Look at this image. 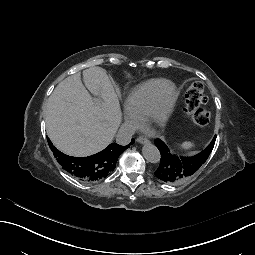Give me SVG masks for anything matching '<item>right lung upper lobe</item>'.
<instances>
[{
    "label": "right lung upper lobe",
    "instance_id": "cb5924a9",
    "mask_svg": "<svg viewBox=\"0 0 255 255\" xmlns=\"http://www.w3.org/2000/svg\"><path fill=\"white\" fill-rule=\"evenodd\" d=\"M132 142L127 146H122L116 143L110 144L103 151L94 154V158L100 161V171L97 173H92L90 178L85 176V171L83 170V157H72L60 152L56 147L53 146L52 142L49 140V146L59 162V164L70 174L76 176L78 179L85 182H94L107 177L116 167V163L119 155L125 151Z\"/></svg>",
    "mask_w": 255,
    "mask_h": 255
}]
</instances>
